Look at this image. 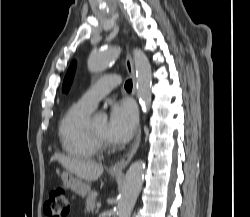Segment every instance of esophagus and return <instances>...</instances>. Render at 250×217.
I'll return each instance as SVG.
<instances>
[{"instance_id": "34e87169", "label": "esophagus", "mask_w": 250, "mask_h": 217, "mask_svg": "<svg viewBox=\"0 0 250 217\" xmlns=\"http://www.w3.org/2000/svg\"><path fill=\"white\" fill-rule=\"evenodd\" d=\"M125 64H126V69L132 78L133 91L135 93L136 92V76H135L133 59H132L130 54H127ZM141 133L142 132H141V127H140L139 131L137 133L136 139H135L131 149L129 150V152L120 161H118L113 166H111L110 170L112 172H122L128 166V164L131 162V160L133 159L134 155L136 154V152L139 148V145L141 142Z\"/></svg>"}]
</instances>
